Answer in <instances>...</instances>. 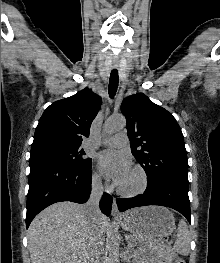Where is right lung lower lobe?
Here are the masks:
<instances>
[{
	"instance_id": "obj_1",
	"label": "right lung lower lobe",
	"mask_w": 220,
	"mask_h": 263,
	"mask_svg": "<svg viewBox=\"0 0 220 263\" xmlns=\"http://www.w3.org/2000/svg\"><path fill=\"white\" fill-rule=\"evenodd\" d=\"M91 191V164L74 167L45 158H30L26 228L47 206L60 201L85 203ZM112 197L104 193L101 211L109 216Z\"/></svg>"
}]
</instances>
